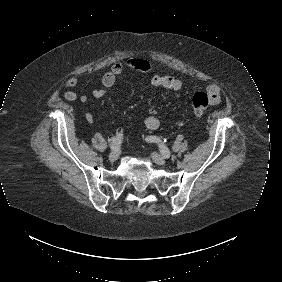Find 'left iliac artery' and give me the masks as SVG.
Masks as SVG:
<instances>
[{
  "label": "left iliac artery",
  "mask_w": 282,
  "mask_h": 282,
  "mask_svg": "<svg viewBox=\"0 0 282 282\" xmlns=\"http://www.w3.org/2000/svg\"><path fill=\"white\" fill-rule=\"evenodd\" d=\"M146 139L149 142L158 143L161 154L165 158H169L170 157V150L163 143H161V140L158 137H156V136H148Z\"/></svg>",
  "instance_id": "44dca946"
}]
</instances>
